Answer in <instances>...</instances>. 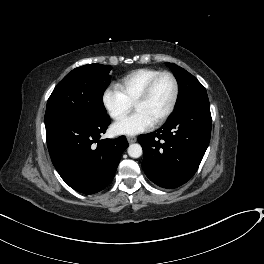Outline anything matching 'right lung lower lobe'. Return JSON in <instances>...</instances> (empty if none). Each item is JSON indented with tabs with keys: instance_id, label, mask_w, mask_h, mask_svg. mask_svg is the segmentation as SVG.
<instances>
[{
	"instance_id": "obj_1",
	"label": "right lung lower lobe",
	"mask_w": 264,
	"mask_h": 264,
	"mask_svg": "<svg viewBox=\"0 0 264 264\" xmlns=\"http://www.w3.org/2000/svg\"><path fill=\"white\" fill-rule=\"evenodd\" d=\"M109 124L110 118L105 116L45 125L53 165L65 183L78 192L97 193L114 178L128 142L125 136L99 140Z\"/></svg>"
}]
</instances>
